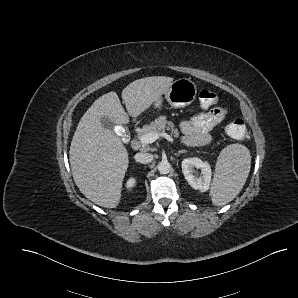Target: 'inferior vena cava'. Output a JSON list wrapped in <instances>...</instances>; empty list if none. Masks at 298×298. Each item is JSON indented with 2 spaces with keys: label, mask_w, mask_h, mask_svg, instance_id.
I'll use <instances>...</instances> for the list:
<instances>
[{
  "label": "inferior vena cava",
  "mask_w": 298,
  "mask_h": 298,
  "mask_svg": "<svg viewBox=\"0 0 298 298\" xmlns=\"http://www.w3.org/2000/svg\"><path fill=\"white\" fill-rule=\"evenodd\" d=\"M153 158H154L153 154L148 152H138L135 154V160L142 164H147L152 162Z\"/></svg>",
  "instance_id": "1"
}]
</instances>
